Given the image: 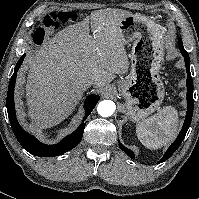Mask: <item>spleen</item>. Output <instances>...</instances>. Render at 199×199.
Listing matches in <instances>:
<instances>
[{
	"label": "spleen",
	"instance_id": "3e777b00",
	"mask_svg": "<svg viewBox=\"0 0 199 199\" xmlns=\"http://www.w3.org/2000/svg\"><path fill=\"white\" fill-rule=\"evenodd\" d=\"M178 113L172 106L161 109L157 114L136 126L139 141L148 149H158L169 144L178 130Z\"/></svg>",
	"mask_w": 199,
	"mask_h": 199
}]
</instances>
